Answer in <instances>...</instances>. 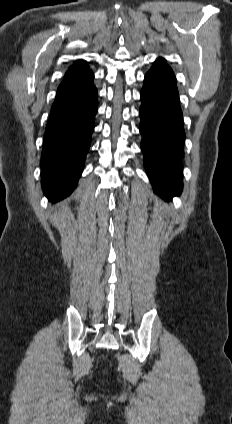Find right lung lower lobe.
Wrapping results in <instances>:
<instances>
[{"label": "right lung lower lobe", "mask_w": 232, "mask_h": 424, "mask_svg": "<svg viewBox=\"0 0 232 424\" xmlns=\"http://www.w3.org/2000/svg\"><path fill=\"white\" fill-rule=\"evenodd\" d=\"M93 78L91 71L74 74L58 87L41 156L42 187L50 201L68 196L82 173L98 108Z\"/></svg>", "instance_id": "obj_1"}]
</instances>
